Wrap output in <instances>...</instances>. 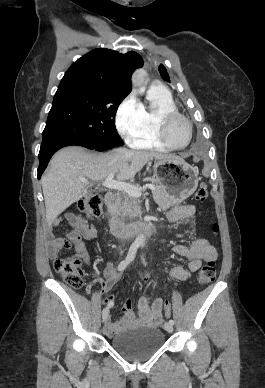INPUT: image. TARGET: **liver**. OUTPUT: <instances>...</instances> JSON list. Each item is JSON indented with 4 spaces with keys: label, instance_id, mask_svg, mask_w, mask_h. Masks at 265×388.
I'll use <instances>...</instances> for the list:
<instances>
[{
    "label": "liver",
    "instance_id": "obj_1",
    "mask_svg": "<svg viewBox=\"0 0 265 388\" xmlns=\"http://www.w3.org/2000/svg\"><path fill=\"white\" fill-rule=\"evenodd\" d=\"M162 158L182 160L180 156L127 148H118L109 154H88L80 146L62 148L54 154L41 180L48 226H52L57 216L71 204L86 196L88 186L80 178L102 182L110 174H116L117 182H126L132 180L149 160Z\"/></svg>",
    "mask_w": 265,
    "mask_h": 388
}]
</instances>
